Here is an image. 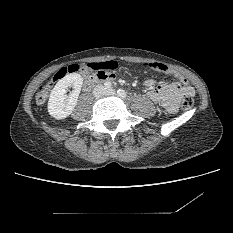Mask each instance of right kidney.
I'll return each instance as SVG.
<instances>
[{
	"label": "right kidney",
	"instance_id": "ca27d5eb",
	"mask_svg": "<svg viewBox=\"0 0 233 233\" xmlns=\"http://www.w3.org/2000/svg\"><path fill=\"white\" fill-rule=\"evenodd\" d=\"M83 84V78L78 73H70L60 79L50 93L48 112L57 120L68 117L74 110ZM73 91L69 95V88Z\"/></svg>",
	"mask_w": 233,
	"mask_h": 233
}]
</instances>
